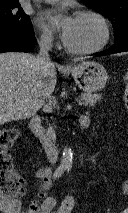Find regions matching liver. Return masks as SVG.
<instances>
[{
  "label": "liver",
  "mask_w": 128,
  "mask_h": 213,
  "mask_svg": "<svg viewBox=\"0 0 128 213\" xmlns=\"http://www.w3.org/2000/svg\"><path fill=\"white\" fill-rule=\"evenodd\" d=\"M42 81L53 92L57 82L54 64L43 78L34 56L15 52L0 54V125L36 114L43 104L39 97Z\"/></svg>",
  "instance_id": "6515ba94"
}]
</instances>
